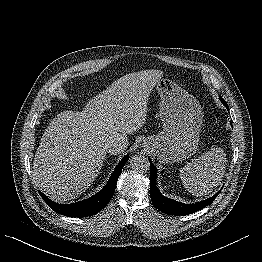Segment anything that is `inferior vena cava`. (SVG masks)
I'll return each instance as SVG.
<instances>
[{"mask_svg": "<svg viewBox=\"0 0 262 262\" xmlns=\"http://www.w3.org/2000/svg\"><path fill=\"white\" fill-rule=\"evenodd\" d=\"M127 140H116L108 145V153L111 155H116L124 152L127 149Z\"/></svg>", "mask_w": 262, "mask_h": 262, "instance_id": "602c4592", "label": "inferior vena cava"}]
</instances>
